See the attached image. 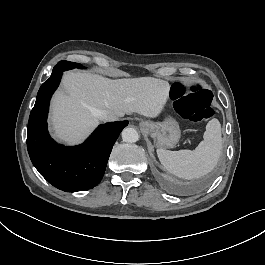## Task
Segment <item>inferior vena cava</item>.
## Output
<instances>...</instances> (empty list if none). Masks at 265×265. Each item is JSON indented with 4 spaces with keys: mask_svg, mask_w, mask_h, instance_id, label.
Here are the masks:
<instances>
[{
    "mask_svg": "<svg viewBox=\"0 0 265 265\" xmlns=\"http://www.w3.org/2000/svg\"><path fill=\"white\" fill-rule=\"evenodd\" d=\"M98 118L101 121H115L117 119L116 116L107 111H101L98 115Z\"/></svg>",
    "mask_w": 265,
    "mask_h": 265,
    "instance_id": "602c4592",
    "label": "inferior vena cava"
}]
</instances>
